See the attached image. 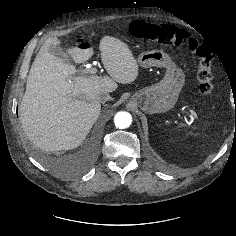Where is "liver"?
Returning a JSON list of instances; mask_svg holds the SVG:
<instances>
[{
	"label": "liver",
	"instance_id": "1",
	"mask_svg": "<svg viewBox=\"0 0 236 236\" xmlns=\"http://www.w3.org/2000/svg\"><path fill=\"white\" fill-rule=\"evenodd\" d=\"M61 41L48 38L40 48L27 77L26 92L19 107L26 136L46 151L78 147L96 122L101 104L98 96L129 84L139 75V65L129 46L105 35L100 40L101 60L109 76H75L77 70L50 50ZM76 64L85 63L93 49L71 47L65 53Z\"/></svg>",
	"mask_w": 236,
	"mask_h": 236
}]
</instances>
